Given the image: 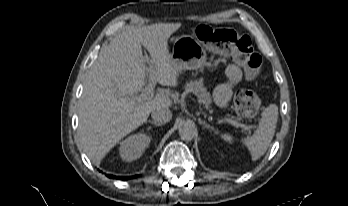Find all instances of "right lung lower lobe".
Masks as SVG:
<instances>
[{
	"label": "right lung lower lobe",
	"instance_id": "98d812e1",
	"mask_svg": "<svg viewBox=\"0 0 348 206\" xmlns=\"http://www.w3.org/2000/svg\"><path fill=\"white\" fill-rule=\"evenodd\" d=\"M107 176H108V177H110V178H115V179H123V180L130 178V177H119V176H112V175H109V174H107Z\"/></svg>",
	"mask_w": 348,
	"mask_h": 206
}]
</instances>
